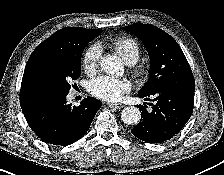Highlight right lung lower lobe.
Returning a JSON list of instances; mask_svg holds the SVG:
<instances>
[{
	"label": "right lung lower lobe",
	"mask_w": 224,
	"mask_h": 175,
	"mask_svg": "<svg viewBox=\"0 0 224 175\" xmlns=\"http://www.w3.org/2000/svg\"><path fill=\"white\" fill-rule=\"evenodd\" d=\"M68 91L52 88H21L20 105L35 134L44 142L67 146L88 131L101 101L88 97L80 106L68 104Z\"/></svg>",
	"instance_id": "right-lung-lower-lobe-1"
}]
</instances>
